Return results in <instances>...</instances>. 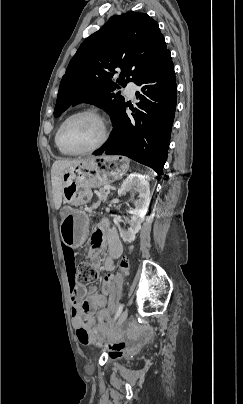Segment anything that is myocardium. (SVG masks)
Segmentation results:
<instances>
[{
    "label": "myocardium",
    "instance_id": "f54148a6",
    "mask_svg": "<svg viewBox=\"0 0 243 404\" xmlns=\"http://www.w3.org/2000/svg\"><path fill=\"white\" fill-rule=\"evenodd\" d=\"M80 115H92V116L98 118L101 121L102 126H103V133H102L101 139L99 140L98 143H96L95 145H93L89 148H78V147L69 146L62 139V131H63L65 125L71 119H73L77 116H80ZM108 136H109V130H108V125H107L105 117L102 114H100L98 111H96L94 109H90V108L80 109L78 111L71 113L61 122V124L58 127V139H59L60 144L62 146H64L66 149H68L72 152H75V153H79V154L91 153V152H94V151L100 149L107 142Z\"/></svg>",
    "mask_w": 243,
    "mask_h": 404
}]
</instances>
